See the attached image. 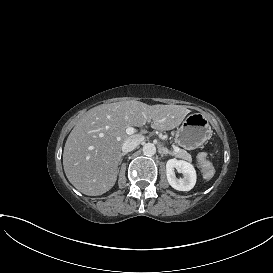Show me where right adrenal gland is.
I'll use <instances>...</instances> for the list:
<instances>
[{"instance_id":"2a0ac1e0","label":"right adrenal gland","mask_w":273,"mask_h":273,"mask_svg":"<svg viewBox=\"0 0 273 273\" xmlns=\"http://www.w3.org/2000/svg\"><path fill=\"white\" fill-rule=\"evenodd\" d=\"M125 155V153H121V156H124Z\"/></svg>"}]
</instances>
